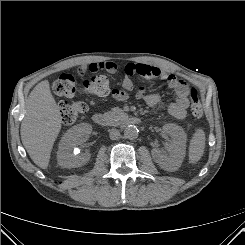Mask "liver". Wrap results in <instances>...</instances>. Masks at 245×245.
<instances>
[{
    "label": "liver",
    "mask_w": 245,
    "mask_h": 245,
    "mask_svg": "<svg viewBox=\"0 0 245 245\" xmlns=\"http://www.w3.org/2000/svg\"><path fill=\"white\" fill-rule=\"evenodd\" d=\"M61 130V114L43 80L31 91L25 104L21 123V140L33 162L42 169L48 167L53 144Z\"/></svg>",
    "instance_id": "obj_1"
}]
</instances>
